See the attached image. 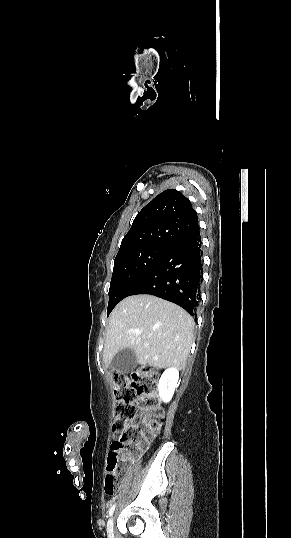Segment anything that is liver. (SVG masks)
I'll use <instances>...</instances> for the list:
<instances>
[{
  "label": "liver",
  "mask_w": 291,
  "mask_h": 538,
  "mask_svg": "<svg viewBox=\"0 0 291 538\" xmlns=\"http://www.w3.org/2000/svg\"><path fill=\"white\" fill-rule=\"evenodd\" d=\"M194 325L193 318L171 302L148 294L127 297L109 317L103 361L108 365L115 354L130 348L141 365L183 368Z\"/></svg>",
  "instance_id": "1"
}]
</instances>
